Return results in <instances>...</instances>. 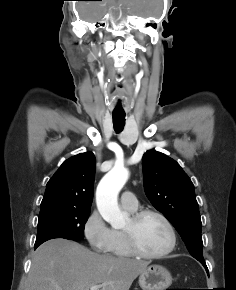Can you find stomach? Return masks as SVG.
I'll use <instances>...</instances> for the list:
<instances>
[{
  "label": "stomach",
  "instance_id": "1",
  "mask_svg": "<svg viewBox=\"0 0 236 290\" xmlns=\"http://www.w3.org/2000/svg\"><path fill=\"white\" fill-rule=\"evenodd\" d=\"M138 282L143 290H166L172 284V276L166 268L151 265L140 273Z\"/></svg>",
  "mask_w": 236,
  "mask_h": 290
}]
</instances>
